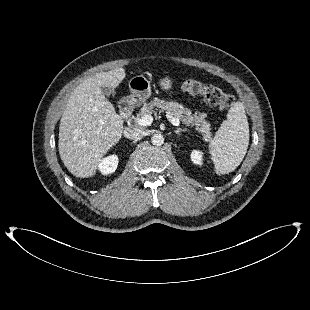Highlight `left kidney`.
I'll use <instances>...</instances> for the list:
<instances>
[{
	"instance_id": "1",
	"label": "left kidney",
	"mask_w": 310,
	"mask_h": 310,
	"mask_svg": "<svg viewBox=\"0 0 310 310\" xmlns=\"http://www.w3.org/2000/svg\"><path fill=\"white\" fill-rule=\"evenodd\" d=\"M191 160L194 164L201 165L202 164V153L200 151H193L191 153Z\"/></svg>"
}]
</instances>
